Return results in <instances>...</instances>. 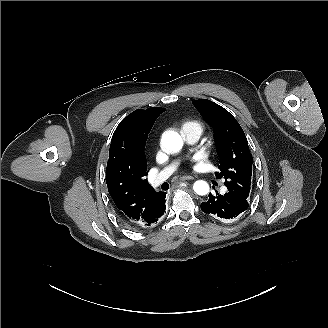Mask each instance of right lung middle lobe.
Returning <instances> with one entry per match:
<instances>
[{
	"mask_svg": "<svg viewBox=\"0 0 328 328\" xmlns=\"http://www.w3.org/2000/svg\"><path fill=\"white\" fill-rule=\"evenodd\" d=\"M153 124H154V122H153L151 125H147V126H145V127L142 129V136H143L144 138H147V137H148V134H149V132H150V130H151ZM145 140H146V139H145Z\"/></svg>",
	"mask_w": 328,
	"mask_h": 328,
	"instance_id": "1",
	"label": "right lung middle lobe"
}]
</instances>
